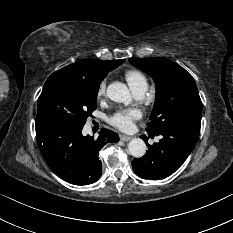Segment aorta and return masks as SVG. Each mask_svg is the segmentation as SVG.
<instances>
[{
  "mask_svg": "<svg viewBox=\"0 0 233 233\" xmlns=\"http://www.w3.org/2000/svg\"><path fill=\"white\" fill-rule=\"evenodd\" d=\"M107 96L110 100L119 103L128 104L131 102V95L127 86L120 82H115L107 87ZM129 153L135 158H141L145 155L147 147L140 138L132 139L128 144Z\"/></svg>",
  "mask_w": 233,
  "mask_h": 233,
  "instance_id": "762f6f07",
  "label": "aorta"
}]
</instances>
